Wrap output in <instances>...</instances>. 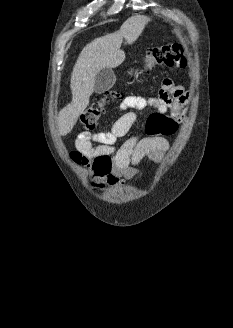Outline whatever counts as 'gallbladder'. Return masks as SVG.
<instances>
[{"label": "gallbladder", "mask_w": 233, "mask_h": 328, "mask_svg": "<svg viewBox=\"0 0 233 328\" xmlns=\"http://www.w3.org/2000/svg\"><path fill=\"white\" fill-rule=\"evenodd\" d=\"M116 76L111 68L101 69L95 76L94 92L97 94L108 91L115 84Z\"/></svg>", "instance_id": "1"}]
</instances>
